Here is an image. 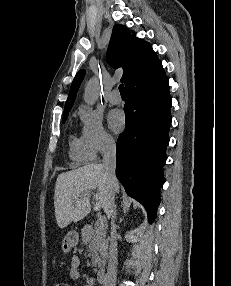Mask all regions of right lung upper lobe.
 <instances>
[{"label": "right lung upper lobe", "instance_id": "right-lung-upper-lobe-1", "mask_svg": "<svg viewBox=\"0 0 231 286\" xmlns=\"http://www.w3.org/2000/svg\"><path fill=\"white\" fill-rule=\"evenodd\" d=\"M107 60L114 68L122 67L124 72L121 81L127 86L132 81L148 76L162 69L161 61L156 56L152 46L147 42L131 36L129 30L122 25H115L112 31ZM85 71L80 70L71 85L64 115L72 108Z\"/></svg>", "mask_w": 231, "mask_h": 286}]
</instances>
